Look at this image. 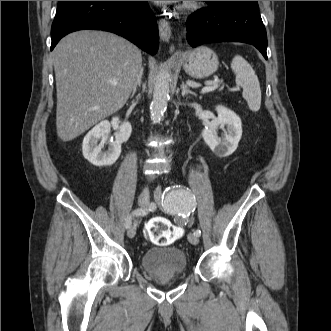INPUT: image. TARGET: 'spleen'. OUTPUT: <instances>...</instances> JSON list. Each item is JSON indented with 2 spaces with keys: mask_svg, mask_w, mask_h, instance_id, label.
<instances>
[{
  "mask_svg": "<svg viewBox=\"0 0 331 331\" xmlns=\"http://www.w3.org/2000/svg\"><path fill=\"white\" fill-rule=\"evenodd\" d=\"M231 69L236 75V84L243 88L242 96L249 108L254 112L258 111L261 106V89L255 71L240 55L233 58Z\"/></svg>",
  "mask_w": 331,
  "mask_h": 331,
  "instance_id": "1",
  "label": "spleen"
}]
</instances>
